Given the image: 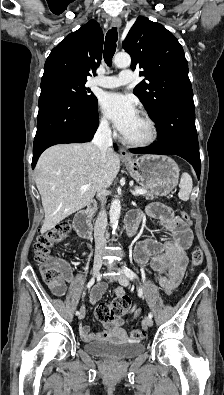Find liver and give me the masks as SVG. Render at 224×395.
<instances>
[{
    "label": "liver",
    "mask_w": 224,
    "mask_h": 395,
    "mask_svg": "<svg viewBox=\"0 0 224 395\" xmlns=\"http://www.w3.org/2000/svg\"><path fill=\"white\" fill-rule=\"evenodd\" d=\"M119 170V156L111 149L103 163L93 143L55 145L45 150L35 178L45 213L41 233L88 205L99 189L112 184ZM85 185L90 188L81 190Z\"/></svg>",
    "instance_id": "6515ba94"
}]
</instances>
